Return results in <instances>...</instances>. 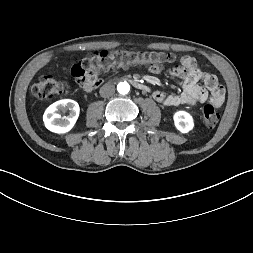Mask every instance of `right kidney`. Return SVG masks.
<instances>
[{"instance_id": "obj_1", "label": "right kidney", "mask_w": 253, "mask_h": 253, "mask_svg": "<svg viewBox=\"0 0 253 253\" xmlns=\"http://www.w3.org/2000/svg\"><path fill=\"white\" fill-rule=\"evenodd\" d=\"M69 110V115L61 117L60 111ZM79 105L71 99L59 100L51 104L43 115V121L48 130L54 133H66L75 125L79 116Z\"/></svg>"}]
</instances>
